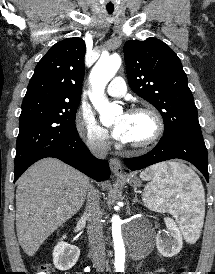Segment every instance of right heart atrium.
I'll return each instance as SVG.
<instances>
[{
  "mask_svg": "<svg viewBox=\"0 0 215 274\" xmlns=\"http://www.w3.org/2000/svg\"><path fill=\"white\" fill-rule=\"evenodd\" d=\"M76 129L91 150L103 152L109 148L110 141L107 130L97 123L90 112H79L76 119Z\"/></svg>",
  "mask_w": 215,
  "mask_h": 274,
  "instance_id": "1",
  "label": "right heart atrium"
}]
</instances>
